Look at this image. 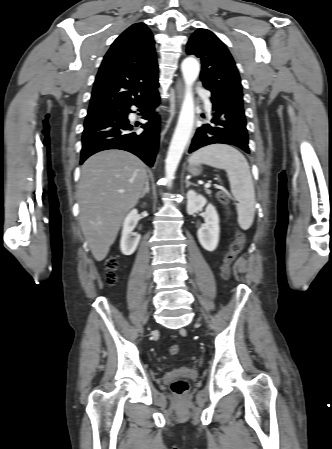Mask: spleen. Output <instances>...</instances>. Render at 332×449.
<instances>
[{
  "instance_id": "spleen-1",
  "label": "spleen",
  "mask_w": 332,
  "mask_h": 449,
  "mask_svg": "<svg viewBox=\"0 0 332 449\" xmlns=\"http://www.w3.org/2000/svg\"><path fill=\"white\" fill-rule=\"evenodd\" d=\"M190 165L206 164L227 172L233 196L238 200V223L243 230L251 227L255 214V192L245 157L229 145L215 144L199 149L189 158Z\"/></svg>"
}]
</instances>
